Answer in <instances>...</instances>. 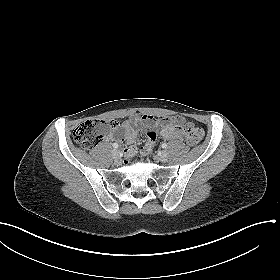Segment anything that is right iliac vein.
<instances>
[{
  "instance_id": "obj_1",
  "label": "right iliac vein",
  "mask_w": 280,
  "mask_h": 280,
  "mask_svg": "<svg viewBox=\"0 0 280 280\" xmlns=\"http://www.w3.org/2000/svg\"><path fill=\"white\" fill-rule=\"evenodd\" d=\"M112 156H113V159H114L115 162L121 161V158H120V151H119V150L114 149V150L112 151Z\"/></svg>"
}]
</instances>
